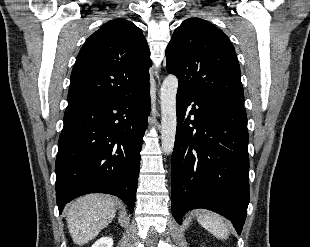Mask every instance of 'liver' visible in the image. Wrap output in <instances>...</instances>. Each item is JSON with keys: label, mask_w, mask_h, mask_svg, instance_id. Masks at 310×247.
Masks as SVG:
<instances>
[{"label": "liver", "mask_w": 310, "mask_h": 247, "mask_svg": "<svg viewBox=\"0 0 310 247\" xmlns=\"http://www.w3.org/2000/svg\"><path fill=\"white\" fill-rule=\"evenodd\" d=\"M117 201L103 194H88L73 201L66 212L74 243L84 245L94 239L114 219Z\"/></svg>", "instance_id": "6515ba94"}]
</instances>
